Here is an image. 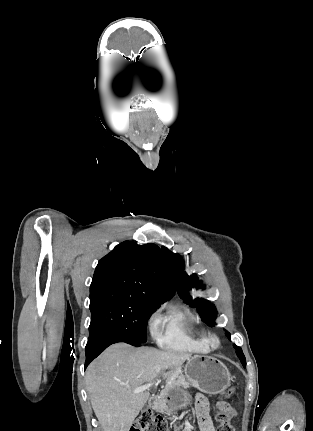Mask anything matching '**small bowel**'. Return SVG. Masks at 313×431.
<instances>
[{"instance_id": "obj_1", "label": "small bowel", "mask_w": 313, "mask_h": 431, "mask_svg": "<svg viewBox=\"0 0 313 431\" xmlns=\"http://www.w3.org/2000/svg\"><path fill=\"white\" fill-rule=\"evenodd\" d=\"M216 407L229 415H235L234 409L227 403L218 402ZM197 418L201 431H216L210 416L209 403L205 396H197Z\"/></svg>"}]
</instances>
